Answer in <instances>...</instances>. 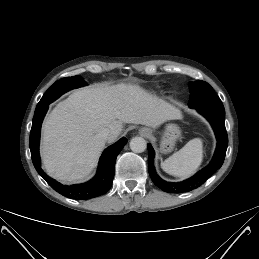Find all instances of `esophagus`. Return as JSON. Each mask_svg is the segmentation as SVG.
Returning a JSON list of instances; mask_svg holds the SVG:
<instances>
[{
  "mask_svg": "<svg viewBox=\"0 0 259 259\" xmlns=\"http://www.w3.org/2000/svg\"><path fill=\"white\" fill-rule=\"evenodd\" d=\"M146 135H149L150 134V131L148 129L145 130L144 132Z\"/></svg>",
  "mask_w": 259,
  "mask_h": 259,
  "instance_id": "obj_1",
  "label": "esophagus"
}]
</instances>
